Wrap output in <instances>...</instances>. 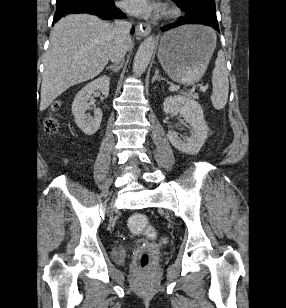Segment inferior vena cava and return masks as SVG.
Wrapping results in <instances>:
<instances>
[{
    "mask_svg": "<svg viewBox=\"0 0 286 308\" xmlns=\"http://www.w3.org/2000/svg\"><path fill=\"white\" fill-rule=\"evenodd\" d=\"M132 24L128 21L120 20L115 22L116 40L112 49L110 60L119 65L127 52V41L130 39Z\"/></svg>",
    "mask_w": 286,
    "mask_h": 308,
    "instance_id": "obj_1",
    "label": "inferior vena cava"
}]
</instances>
